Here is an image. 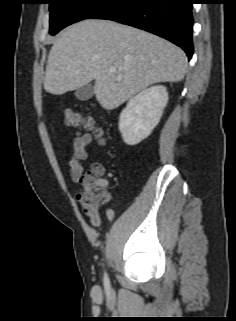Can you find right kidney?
<instances>
[{
    "label": "right kidney",
    "mask_w": 236,
    "mask_h": 321,
    "mask_svg": "<svg viewBox=\"0 0 236 321\" xmlns=\"http://www.w3.org/2000/svg\"><path fill=\"white\" fill-rule=\"evenodd\" d=\"M168 102L165 86L142 90L131 98L119 116V131L127 145H136L157 126Z\"/></svg>",
    "instance_id": "ca27d5eb"
}]
</instances>
